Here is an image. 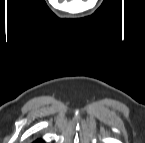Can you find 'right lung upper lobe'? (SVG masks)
<instances>
[{
	"instance_id": "cb5924a9",
	"label": "right lung upper lobe",
	"mask_w": 145,
	"mask_h": 143,
	"mask_svg": "<svg viewBox=\"0 0 145 143\" xmlns=\"http://www.w3.org/2000/svg\"><path fill=\"white\" fill-rule=\"evenodd\" d=\"M41 142H43L41 139L35 141V143H41Z\"/></svg>"
}]
</instances>
